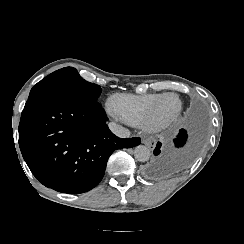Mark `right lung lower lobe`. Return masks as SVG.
Here are the masks:
<instances>
[{"instance_id":"obj_1","label":"right lung lower lobe","mask_w":244,"mask_h":244,"mask_svg":"<svg viewBox=\"0 0 244 244\" xmlns=\"http://www.w3.org/2000/svg\"><path fill=\"white\" fill-rule=\"evenodd\" d=\"M107 120L98 102L56 94L29 96L19 124V146L33 175L63 193L94 188L115 149L140 144L138 137H116Z\"/></svg>"}]
</instances>
